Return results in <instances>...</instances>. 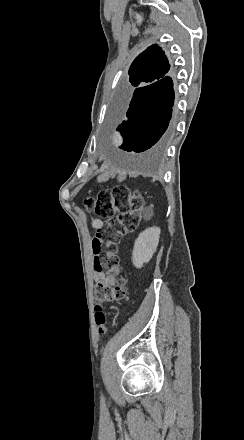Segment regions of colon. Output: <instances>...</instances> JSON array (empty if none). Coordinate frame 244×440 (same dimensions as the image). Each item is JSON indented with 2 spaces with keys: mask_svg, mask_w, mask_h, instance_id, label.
I'll return each instance as SVG.
<instances>
[{
  "mask_svg": "<svg viewBox=\"0 0 244 440\" xmlns=\"http://www.w3.org/2000/svg\"><path fill=\"white\" fill-rule=\"evenodd\" d=\"M92 205L97 215L105 219V222L97 227L96 235L91 242L94 266L106 275L121 277L123 268L118 255V245L124 235L133 232L139 226L143 201L137 193L125 196L120 189L113 188L100 190L94 198L86 200L87 207ZM125 296L122 279L114 287H95L94 320L100 334L105 333L107 322L103 303L121 301Z\"/></svg>",
  "mask_w": 244,
  "mask_h": 440,
  "instance_id": "obj_1",
  "label": "colon"
}]
</instances>
